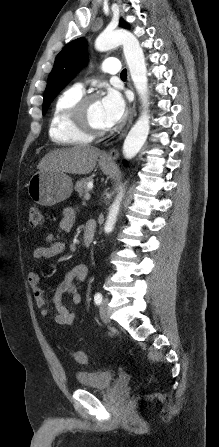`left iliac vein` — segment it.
Wrapping results in <instances>:
<instances>
[{
    "mask_svg": "<svg viewBox=\"0 0 219 447\" xmlns=\"http://www.w3.org/2000/svg\"><path fill=\"white\" fill-rule=\"evenodd\" d=\"M100 317L104 323L110 322V309L108 305V300L104 299L100 305Z\"/></svg>",
    "mask_w": 219,
    "mask_h": 447,
    "instance_id": "1",
    "label": "left iliac vein"
}]
</instances>
